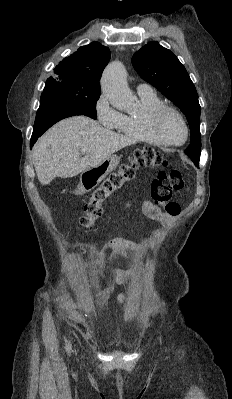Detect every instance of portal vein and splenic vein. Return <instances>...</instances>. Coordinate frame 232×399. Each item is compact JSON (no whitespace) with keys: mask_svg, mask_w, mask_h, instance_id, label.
<instances>
[{"mask_svg":"<svg viewBox=\"0 0 232 399\" xmlns=\"http://www.w3.org/2000/svg\"><path fill=\"white\" fill-rule=\"evenodd\" d=\"M88 150H89L88 146H82L80 152L81 154H87Z\"/></svg>","mask_w":232,"mask_h":399,"instance_id":"portal-vein-and-splenic-vein-1","label":"portal vein and splenic vein"}]
</instances>
